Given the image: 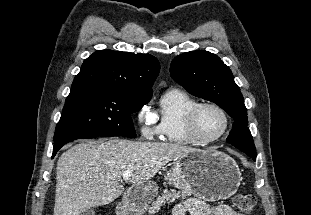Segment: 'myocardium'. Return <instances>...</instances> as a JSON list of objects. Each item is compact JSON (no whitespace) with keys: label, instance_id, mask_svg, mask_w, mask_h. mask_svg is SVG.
Wrapping results in <instances>:
<instances>
[{"label":"myocardium","instance_id":"f54148a6","mask_svg":"<svg viewBox=\"0 0 311 215\" xmlns=\"http://www.w3.org/2000/svg\"><path fill=\"white\" fill-rule=\"evenodd\" d=\"M205 107H210L215 110H217L223 120H224V126L220 133H218L216 136L213 137H204L202 136L197 128V117L201 109ZM185 127L188 135L196 142L200 144H209L213 143L217 140H219L227 131L229 127V117L226 111L218 104L214 102H201V103H196L194 106H192L188 112L186 113L185 116Z\"/></svg>","mask_w":311,"mask_h":215}]
</instances>
